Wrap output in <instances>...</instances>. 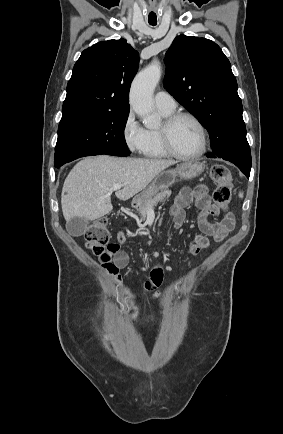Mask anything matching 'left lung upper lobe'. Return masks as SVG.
<instances>
[{"mask_svg": "<svg viewBox=\"0 0 283 434\" xmlns=\"http://www.w3.org/2000/svg\"><path fill=\"white\" fill-rule=\"evenodd\" d=\"M164 87L210 134V158L251 162L237 81L221 48L206 38L177 36L165 57Z\"/></svg>", "mask_w": 283, "mask_h": 434, "instance_id": "5c2ea615", "label": "left lung upper lobe"}]
</instances>
